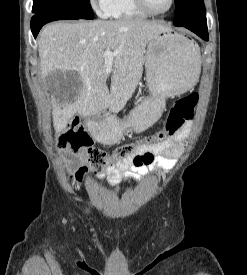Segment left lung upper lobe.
<instances>
[{
  "label": "left lung upper lobe",
  "instance_id": "1",
  "mask_svg": "<svg viewBox=\"0 0 247 275\" xmlns=\"http://www.w3.org/2000/svg\"><path fill=\"white\" fill-rule=\"evenodd\" d=\"M174 25H206L203 0H175Z\"/></svg>",
  "mask_w": 247,
  "mask_h": 275
}]
</instances>
